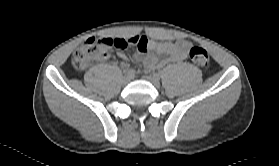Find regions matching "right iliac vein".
Returning a JSON list of instances; mask_svg holds the SVG:
<instances>
[{"label":"right iliac vein","mask_w":279,"mask_h":166,"mask_svg":"<svg viewBox=\"0 0 279 166\" xmlns=\"http://www.w3.org/2000/svg\"><path fill=\"white\" fill-rule=\"evenodd\" d=\"M131 79H132V76L126 74V75L123 77V79H122V83H123L124 85H126V84H128V83L131 81Z\"/></svg>","instance_id":"obj_1"}]
</instances>
